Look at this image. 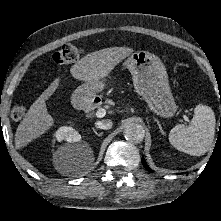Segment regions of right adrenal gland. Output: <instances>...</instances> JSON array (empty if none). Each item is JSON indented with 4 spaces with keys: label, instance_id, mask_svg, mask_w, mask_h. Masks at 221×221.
Returning <instances> with one entry per match:
<instances>
[{
    "label": "right adrenal gland",
    "instance_id": "right-adrenal-gland-1",
    "mask_svg": "<svg viewBox=\"0 0 221 221\" xmlns=\"http://www.w3.org/2000/svg\"><path fill=\"white\" fill-rule=\"evenodd\" d=\"M93 132L98 136V137H100V136H102L103 135V132H101V133H98L95 129H93Z\"/></svg>",
    "mask_w": 221,
    "mask_h": 221
}]
</instances>
